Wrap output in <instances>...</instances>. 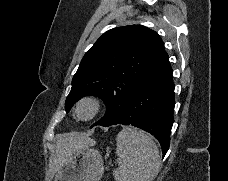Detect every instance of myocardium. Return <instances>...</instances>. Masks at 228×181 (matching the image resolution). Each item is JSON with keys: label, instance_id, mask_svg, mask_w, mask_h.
<instances>
[{"label": "myocardium", "instance_id": "f54148a6", "mask_svg": "<svg viewBox=\"0 0 228 181\" xmlns=\"http://www.w3.org/2000/svg\"><path fill=\"white\" fill-rule=\"evenodd\" d=\"M97 109V103L91 99L82 100L77 107V113L85 112L87 116H92Z\"/></svg>", "mask_w": 228, "mask_h": 181}]
</instances>
